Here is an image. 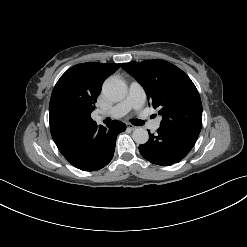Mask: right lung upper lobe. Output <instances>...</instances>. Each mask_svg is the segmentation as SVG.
I'll use <instances>...</instances> for the list:
<instances>
[{
	"mask_svg": "<svg viewBox=\"0 0 247 247\" xmlns=\"http://www.w3.org/2000/svg\"><path fill=\"white\" fill-rule=\"evenodd\" d=\"M121 64L84 63L68 69L56 83L49 105L50 132L65 152L96 122L91 118L103 82Z\"/></svg>",
	"mask_w": 247,
	"mask_h": 247,
	"instance_id": "cb5924a9",
	"label": "right lung upper lobe"
}]
</instances>
